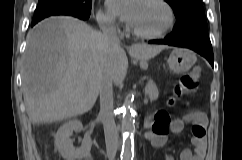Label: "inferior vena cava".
<instances>
[{"label":"inferior vena cava","mask_w":242,"mask_h":160,"mask_svg":"<svg viewBox=\"0 0 242 160\" xmlns=\"http://www.w3.org/2000/svg\"><path fill=\"white\" fill-rule=\"evenodd\" d=\"M104 37L112 45L120 43L115 25L112 23H103L100 25ZM114 63H110L107 72H103L100 79V112L99 117L103 123L107 157L109 160H115L118 149V132L113 114V88L112 81L116 79V73L119 68V59L114 58Z\"/></svg>","instance_id":"1"}]
</instances>
